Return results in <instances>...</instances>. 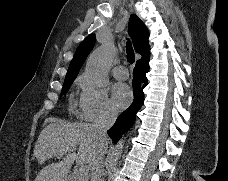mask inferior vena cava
I'll return each mask as SVG.
<instances>
[{"mask_svg": "<svg viewBox=\"0 0 228 181\" xmlns=\"http://www.w3.org/2000/svg\"><path fill=\"white\" fill-rule=\"evenodd\" d=\"M117 119V113L112 111L110 107L101 111L100 115H98L97 119H95L92 127L94 133L98 135L99 139H106L108 129H111L112 125H114ZM106 155V149L100 151L99 155L94 157L91 165V181H102V169H103V161Z\"/></svg>", "mask_w": 228, "mask_h": 181, "instance_id": "inferior-vena-cava-1", "label": "inferior vena cava"}]
</instances>
